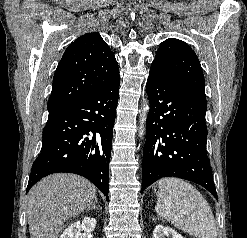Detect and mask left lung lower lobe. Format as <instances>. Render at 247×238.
<instances>
[{
  "instance_id": "obj_1",
  "label": "left lung lower lobe",
  "mask_w": 247,
  "mask_h": 238,
  "mask_svg": "<svg viewBox=\"0 0 247 238\" xmlns=\"http://www.w3.org/2000/svg\"><path fill=\"white\" fill-rule=\"evenodd\" d=\"M146 90L150 110L143 151L142 191L163 177L195 182L217 193L206 151L207 102L151 68Z\"/></svg>"
}]
</instances>
